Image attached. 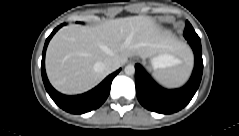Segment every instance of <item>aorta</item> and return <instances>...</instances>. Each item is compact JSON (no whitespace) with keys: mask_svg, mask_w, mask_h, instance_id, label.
<instances>
[{"mask_svg":"<svg viewBox=\"0 0 239 136\" xmlns=\"http://www.w3.org/2000/svg\"><path fill=\"white\" fill-rule=\"evenodd\" d=\"M125 74L127 75H134L135 73V67L132 64H129L124 69Z\"/></svg>","mask_w":239,"mask_h":136,"instance_id":"aorta-1","label":"aorta"}]
</instances>
